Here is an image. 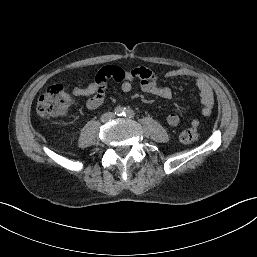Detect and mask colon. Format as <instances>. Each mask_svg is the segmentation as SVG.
I'll use <instances>...</instances> for the list:
<instances>
[{
    "label": "colon",
    "instance_id": "colon-1",
    "mask_svg": "<svg viewBox=\"0 0 257 257\" xmlns=\"http://www.w3.org/2000/svg\"><path fill=\"white\" fill-rule=\"evenodd\" d=\"M100 87H105L107 77L100 74L96 77ZM73 103L72 94L66 84L51 85L39 98L36 111L43 118H53L65 115ZM198 134L195 127L183 129L179 134L182 144H191L197 140Z\"/></svg>",
    "mask_w": 257,
    "mask_h": 257
}]
</instances>
